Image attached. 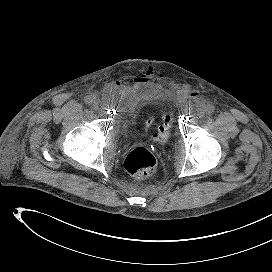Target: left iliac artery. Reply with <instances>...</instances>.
I'll return each mask as SVG.
<instances>
[{
    "instance_id": "44dca946",
    "label": "left iliac artery",
    "mask_w": 272,
    "mask_h": 272,
    "mask_svg": "<svg viewBox=\"0 0 272 272\" xmlns=\"http://www.w3.org/2000/svg\"><path fill=\"white\" fill-rule=\"evenodd\" d=\"M214 111H215V106L214 105H208V107H207V112L209 113V114H212V113H214Z\"/></svg>"
}]
</instances>
